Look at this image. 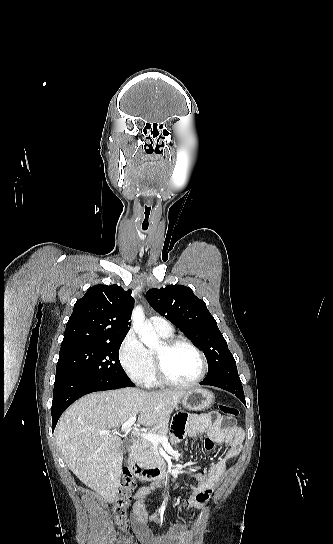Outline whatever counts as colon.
Returning a JSON list of instances; mask_svg holds the SVG:
<instances>
[{
  "mask_svg": "<svg viewBox=\"0 0 333 544\" xmlns=\"http://www.w3.org/2000/svg\"><path fill=\"white\" fill-rule=\"evenodd\" d=\"M221 412L228 419H233L238 415V409L234 406L223 405ZM136 486L135 479L130 474H125L123 483L113 505V513L119 529V544H132V539L128 535L127 509L132 500V492Z\"/></svg>",
  "mask_w": 333,
  "mask_h": 544,
  "instance_id": "colon-1",
  "label": "colon"
}]
</instances>
